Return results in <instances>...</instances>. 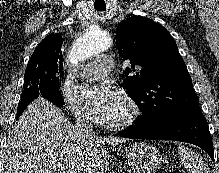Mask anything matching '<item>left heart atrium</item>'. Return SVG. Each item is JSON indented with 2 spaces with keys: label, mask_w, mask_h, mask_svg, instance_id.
Masks as SVG:
<instances>
[{
  "label": "left heart atrium",
  "mask_w": 219,
  "mask_h": 173,
  "mask_svg": "<svg viewBox=\"0 0 219 173\" xmlns=\"http://www.w3.org/2000/svg\"><path fill=\"white\" fill-rule=\"evenodd\" d=\"M119 98L120 93L113 86L109 84L99 86L93 98V104L98 116L106 120L117 105Z\"/></svg>",
  "instance_id": "obj_1"
}]
</instances>
